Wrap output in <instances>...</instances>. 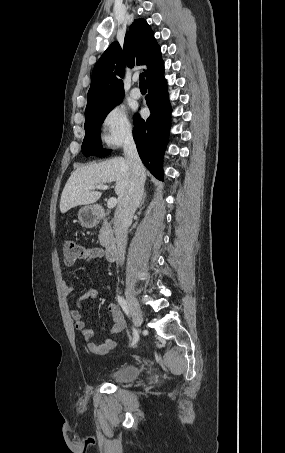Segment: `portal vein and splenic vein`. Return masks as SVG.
<instances>
[{"label":"portal vein and splenic vein","mask_w":285,"mask_h":453,"mask_svg":"<svg viewBox=\"0 0 285 453\" xmlns=\"http://www.w3.org/2000/svg\"><path fill=\"white\" fill-rule=\"evenodd\" d=\"M108 188L109 187L104 184H97V185L90 187L91 190H95V189L106 190ZM116 204H117V199L115 197H112L108 200L107 207L111 209V208H114L116 206Z\"/></svg>","instance_id":"18ae733b"}]
</instances>
